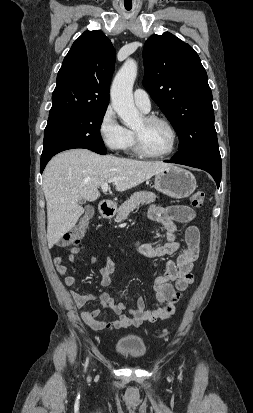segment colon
I'll return each mask as SVG.
<instances>
[{
  "instance_id": "5ec220e1",
  "label": "colon",
  "mask_w": 253,
  "mask_h": 413,
  "mask_svg": "<svg viewBox=\"0 0 253 413\" xmlns=\"http://www.w3.org/2000/svg\"><path fill=\"white\" fill-rule=\"evenodd\" d=\"M205 200V194L203 191L198 190L194 192L190 197L191 205L195 208H200L203 206ZM92 217V209L87 208L84 215L80 218L78 223L72 228V230L65 234L58 242L60 247H68L71 245H77L80 243L81 239L85 235L88 229L90 220ZM170 333L169 330H164L159 337L167 336Z\"/></svg>"
}]
</instances>
